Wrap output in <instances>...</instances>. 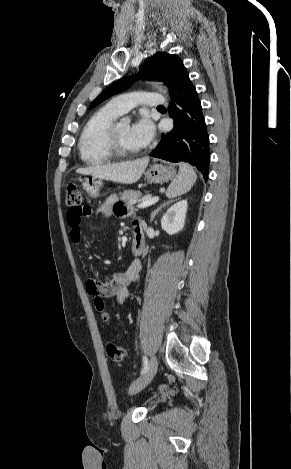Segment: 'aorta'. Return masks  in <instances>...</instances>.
<instances>
[{
  "instance_id": "aorta-1",
  "label": "aorta",
  "mask_w": 291,
  "mask_h": 469,
  "mask_svg": "<svg viewBox=\"0 0 291 469\" xmlns=\"http://www.w3.org/2000/svg\"><path fill=\"white\" fill-rule=\"evenodd\" d=\"M157 88L159 89V91L163 92V93H167V90L166 88L162 87V86H157ZM124 122L126 123H129L130 122V119L129 118H125L123 119Z\"/></svg>"
}]
</instances>
